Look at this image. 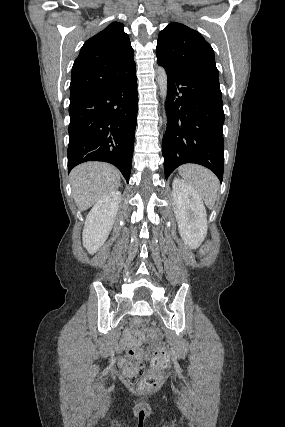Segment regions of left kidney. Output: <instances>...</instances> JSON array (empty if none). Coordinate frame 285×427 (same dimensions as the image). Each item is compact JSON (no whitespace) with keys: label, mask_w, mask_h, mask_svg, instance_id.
Wrapping results in <instances>:
<instances>
[{"label":"left kidney","mask_w":285,"mask_h":427,"mask_svg":"<svg viewBox=\"0 0 285 427\" xmlns=\"http://www.w3.org/2000/svg\"><path fill=\"white\" fill-rule=\"evenodd\" d=\"M173 205L179 234L191 249L198 248L207 234V214L198 193L184 180H173Z\"/></svg>","instance_id":"left-kidney-1"}]
</instances>
